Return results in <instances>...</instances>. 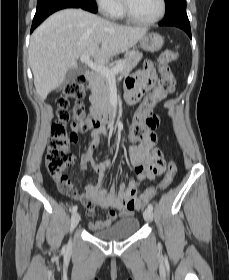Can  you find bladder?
Returning a JSON list of instances; mask_svg holds the SVG:
<instances>
[{
    "instance_id": "1",
    "label": "bladder",
    "mask_w": 229,
    "mask_h": 280,
    "mask_svg": "<svg viewBox=\"0 0 229 280\" xmlns=\"http://www.w3.org/2000/svg\"><path fill=\"white\" fill-rule=\"evenodd\" d=\"M138 227L139 220L136 217L122 218L107 228L93 230L92 234L103 240L114 241L135 235Z\"/></svg>"
}]
</instances>
